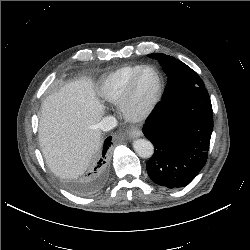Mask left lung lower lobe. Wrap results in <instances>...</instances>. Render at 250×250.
Returning a JSON list of instances; mask_svg holds the SVG:
<instances>
[{"instance_id":"1","label":"left lung lower lobe","mask_w":250,"mask_h":250,"mask_svg":"<svg viewBox=\"0 0 250 250\" xmlns=\"http://www.w3.org/2000/svg\"><path fill=\"white\" fill-rule=\"evenodd\" d=\"M213 130L212 105L205 88H197L160 101L143 127L154 145L146 169L158 185H188L208 157Z\"/></svg>"}]
</instances>
